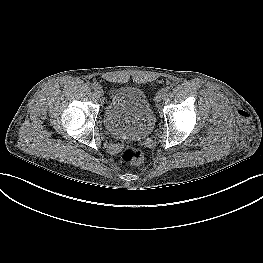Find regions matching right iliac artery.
<instances>
[{
    "label": "right iliac artery",
    "instance_id": "1",
    "mask_svg": "<svg viewBox=\"0 0 263 263\" xmlns=\"http://www.w3.org/2000/svg\"><path fill=\"white\" fill-rule=\"evenodd\" d=\"M101 87V84L100 83H95L94 85H93V88L94 89H99Z\"/></svg>",
    "mask_w": 263,
    "mask_h": 263
}]
</instances>
